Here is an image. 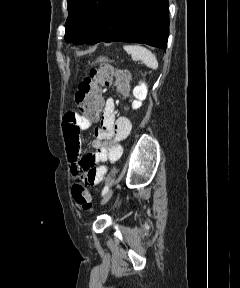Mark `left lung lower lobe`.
Returning <instances> with one entry per match:
<instances>
[{
	"label": "left lung lower lobe",
	"mask_w": 240,
	"mask_h": 288,
	"mask_svg": "<svg viewBox=\"0 0 240 288\" xmlns=\"http://www.w3.org/2000/svg\"><path fill=\"white\" fill-rule=\"evenodd\" d=\"M168 5V0H109L101 21L85 43H145L165 50Z\"/></svg>",
	"instance_id": "obj_1"
}]
</instances>
